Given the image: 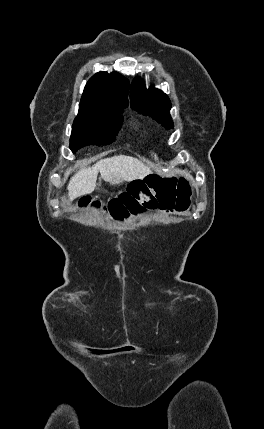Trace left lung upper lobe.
Returning <instances> with one entry per match:
<instances>
[{
  "label": "left lung upper lobe",
  "instance_id": "left-lung-upper-lobe-1",
  "mask_svg": "<svg viewBox=\"0 0 264 429\" xmlns=\"http://www.w3.org/2000/svg\"><path fill=\"white\" fill-rule=\"evenodd\" d=\"M131 106L138 112L149 115L167 128H173V121L169 114L171 102L161 90L150 87L146 89L142 79H135L131 84Z\"/></svg>",
  "mask_w": 264,
  "mask_h": 429
}]
</instances>
